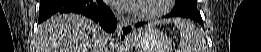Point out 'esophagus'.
<instances>
[{
	"label": "esophagus",
	"instance_id": "obj_1",
	"mask_svg": "<svg viewBox=\"0 0 261 52\" xmlns=\"http://www.w3.org/2000/svg\"><path fill=\"white\" fill-rule=\"evenodd\" d=\"M132 32H133V28L128 21L122 20L119 23L118 34H119L120 37L127 39L128 37L131 36Z\"/></svg>",
	"mask_w": 261,
	"mask_h": 52
}]
</instances>
